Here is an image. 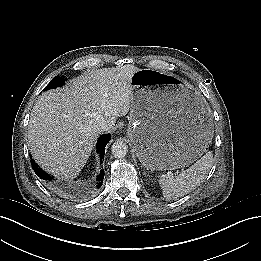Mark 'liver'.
Returning <instances> with one entry per match:
<instances>
[{
  "label": "liver",
  "instance_id": "6515ba94",
  "mask_svg": "<svg viewBox=\"0 0 261 261\" xmlns=\"http://www.w3.org/2000/svg\"><path fill=\"white\" fill-rule=\"evenodd\" d=\"M140 69L127 64L91 71L64 89L49 90L35 102L28 126L34 159L45 170L74 178L86 164L98 136L92 127L97 116L108 122L130 110L132 79Z\"/></svg>",
  "mask_w": 261,
  "mask_h": 261
}]
</instances>
